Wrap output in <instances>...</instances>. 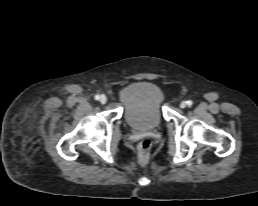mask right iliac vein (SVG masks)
Instances as JSON below:
<instances>
[{"label": "right iliac vein", "instance_id": "1", "mask_svg": "<svg viewBox=\"0 0 258 206\" xmlns=\"http://www.w3.org/2000/svg\"><path fill=\"white\" fill-rule=\"evenodd\" d=\"M99 101L100 103L105 104L107 102V97L105 95H101Z\"/></svg>", "mask_w": 258, "mask_h": 206}]
</instances>
